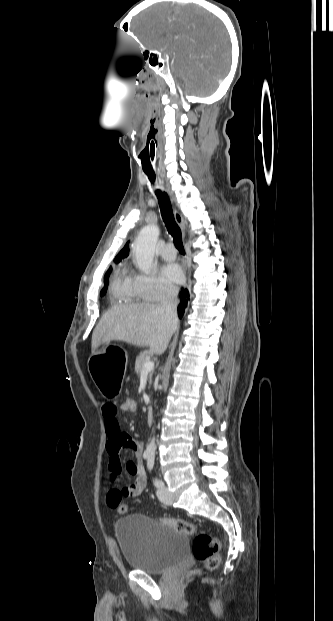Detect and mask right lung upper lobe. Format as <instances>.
Returning <instances> with one entry per match:
<instances>
[{
  "mask_svg": "<svg viewBox=\"0 0 333 621\" xmlns=\"http://www.w3.org/2000/svg\"><path fill=\"white\" fill-rule=\"evenodd\" d=\"M129 254V247H128V242L126 243V245L124 246V248L119 252V254L115 257V261L118 263L121 261V259L127 257Z\"/></svg>",
  "mask_w": 333,
  "mask_h": 621,
  "instance_id": "cb5924a9",
  "label": "right lung upper lobe"
}]
</instances>
